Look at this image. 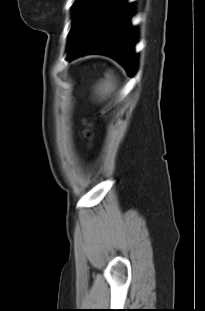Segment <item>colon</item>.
<instances>
[{
  "label": "colon",
  "instance_id": "1",
  "mask_svg": "<svg viewBox=\"0 0 205 311\" xmlns=\"http://www.w3.org/2000/svg\"><path fill=\"white\" fill-rule=\"evenodd\" d=\"M88 135H89V136L91 135L90 132H88Z\"/></svg>",
  "mask_w": 205,
  "mask_h": 311
}]
</instances>
